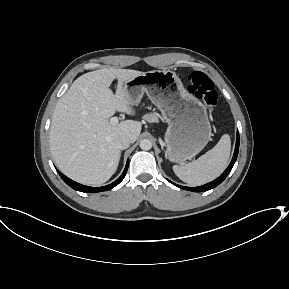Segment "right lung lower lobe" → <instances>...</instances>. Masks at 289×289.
<instances>
[{"label": "right lung lower lobe", "instance_id": "right-lung-lower-lobe-1", "mask_svg": "<svg viewBox=\"0 0 289 289\" xmlns=\"http://www.w3.org/2000/svg\"><path fill=\"white\" fill-rule=\"evenodd\" d=\"M128 170V162L126 164V167L122 173V175L113 183L104 186V187H89V186H85L82 184H79L75 181H72L71 179H69L68 177L64 176L60 171L57 170V172L59 173L60 177L63 179V181L69 185L71 188H73L74 190L80 191V192H85V193H95V192H101V191H107L112 189L113 187H115L116 185H118L125 177L126 172Z\"/></svg>", "mask_w": 289, "mask_h": 289}]
</instances>
